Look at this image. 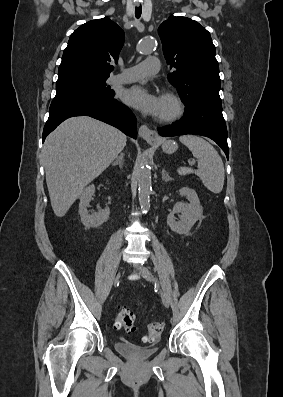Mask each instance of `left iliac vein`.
Listing matches in <instances>:
<instances>
[{
	"label": "left iliac vein",
	"mask_w": 283,
	"mask_h": 397,
	"mask_svg": "<svg viewBox=\"0 0 283 397\" xmlns=\"http://www.w3.org/2000/svg\"><path fill=\"white\" fill-rule=\"evenodd\" d=\"M137 270L139 273L149 282H154V278L151 275L150 271L142 264L137 265ZM161 299L166 308H169V300L164 293H161Z\"/></svg>",
	"instance_id": "1"
}]
</instances>
